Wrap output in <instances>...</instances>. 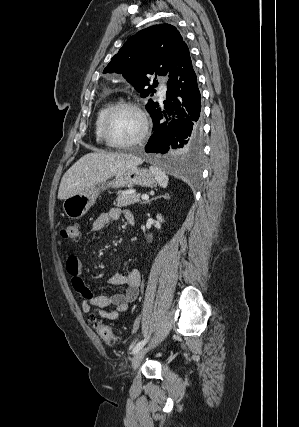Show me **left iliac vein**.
<instances>
[{"label": "left iliac vein", "mask_w": 299, "mask_h": 427, "mask_svg": "<svg viewBox=\"0 0 299 427\" xmlns=\"http://www.w3.org/2000/svg\"><path fill=\"white\" fill-rule=\"evenodd\" d=\"M148 351V348L147 347H145V348H141L135 355H134V357H133V359H132V368H133V370L135 371L138 367H139V365H140V363H141V361H142V359L144 358V356H145V354H146V352Z\"/></svg>", "instance_id": "1"}]
</instances>
